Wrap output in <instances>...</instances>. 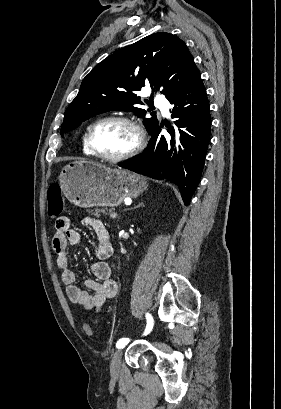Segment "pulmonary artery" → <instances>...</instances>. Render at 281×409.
<instances>
[{"mask_svg": "<svg viewBox=\"0 0 281 409\" xmlns=\"http://www.w3.org/2000/svg\"><path fill=\"white\" fill-rule=\"evenodd\" d=\"M156 101L158 103H160L159 106H160L162 112L165 115H168L169 114V105L167 103H165L167 101V96L165 94H158L156 96Z\"/></svg>", "mask_w": 281, "mask_h": 409, "instance_id": "obj_1", "label": "pulmonary artery"}]
</instances>
